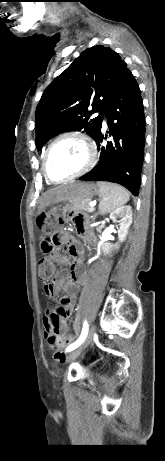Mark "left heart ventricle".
Listing matches in <instances>:
<instances>
[{
  "instance_id": "left-heart-ventricle-1",
  "label": "left heart ventricle",
  "mask_w": 165,
  "mask_h": 461,
  "mask_svg": "<svg viewBox=\"0 0 165 461\" xmlns=\"http://www.w3.org/2000/svg\"><path fill=\"white\" fill-rule=\"evenodd\" d=\"M87 154L79 140L64 139L51 149L46 167L51 178L59 180L68 177L86 163Z\"/></svg>"
}]
</instances>
